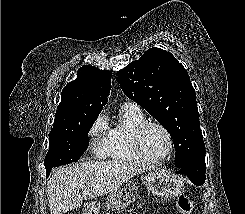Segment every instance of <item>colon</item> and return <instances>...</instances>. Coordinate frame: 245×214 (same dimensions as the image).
<instances>
[{"label":"colon","instance_id":"colon-1","mask_svg":"<svg viewBox=\"0 0 245 214\" xmlns=\"http://www.w3.org/2000/svg\"><path fill=\"white\" fill-rule=\"evenodd\" d=\"M177 207L181 214H191L194 208L192 202L184 194L178 197Z\"/></svg>","mask_w":245,"mask_h":214}]
</instances>
